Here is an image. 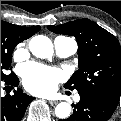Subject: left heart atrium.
<instances>
[{
	"instance_id": "obj_1",
	"label": "left heart atrium",
	"mask_w": 121,
	"mask_h": 121,
	"mask_svg": "<svg viewBox=\"0 0 121 121\" xmlns=\"http://www.w3.org/2000/svg\"><path fill=\"white\" fill-rule=\"evenodd\" d=\"M24 84L30 92L38 95L53 93L63 80V74L55 68L29 63L23 68Z\"/></svg>"
}]
</instances>
